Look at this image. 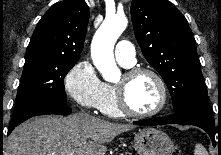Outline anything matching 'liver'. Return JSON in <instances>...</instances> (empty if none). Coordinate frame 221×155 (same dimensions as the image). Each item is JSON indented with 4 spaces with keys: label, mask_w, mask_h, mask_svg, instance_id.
Masks as SVG:
<instances>
[{
    "label": "liver",
    "mask_w": 221,
    "mask_h": 155,
    "mask_svg": "<svg viewBox=\"0 0 221 155\" xmlns=\"http://www.w3.org/2000/svg\"><path fill=\"white\" fill-rule=\"evenodd\" d=\"M85 113L62 118L40 116L16 127L10 134L7 155H105V144L133 129Z\"/></svg>",
    "instance_id": "1"
}]
</instances>
